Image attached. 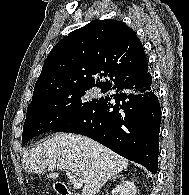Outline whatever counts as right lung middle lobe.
Returning a JSON list of instances; mask_svg holds the SVG:
<instances>
[{
    "label": "right lung middle lobe",
    "instance_id": "right-lung-middle-lobe-1",
    "mask_svg": "<svg viewBox=\"0 0 189 195\" xmlns=\"http://www.w3.org/2000/svg\"><path fill=\"white\" fill-rule=\"evenodd\" d=\"M92 87L74 86L33 100L27 108L22 143H26L38 134L53 130L93 105L99 98L88 99L86 95V91ZM100 88L104 93L106 88Z\"/></svg>",
    "mask_w": 189,
    "mask_h": 195
}]
</instances>
